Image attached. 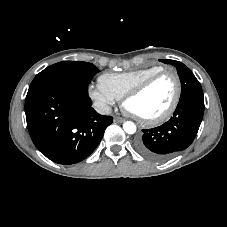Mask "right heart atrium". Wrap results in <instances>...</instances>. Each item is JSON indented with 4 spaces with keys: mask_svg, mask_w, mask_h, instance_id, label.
<instances>
[{
    "mask_svg": "<svg viewBox=\"0 0 227 227\" xmlns=\"http://www.w3.org/2000/svg\"><path fill=\"white\" fill-rule=\"evenodd\" d=\"M88 94L95 106L104 112L108 111L116 101V98L100 84L90 86Z\"/></svg>",
    "mask_w": 227,
    "mask_h": 227,
    "instance_id": "1",
    "label": "right heart atrium"
}]
</instances>
